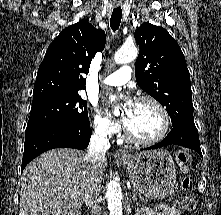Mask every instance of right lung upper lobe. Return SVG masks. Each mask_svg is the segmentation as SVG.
<instances>
[{
  "instance_id": "1",
  "label": "right lung upper lobe",
  "mask_w": 221,
  "mask_h": 215,
  "mask_svg": "<svg viewBox=\"0 0 221 215\" xmlns=\"http://www.w3.org/2000/svg\"><path fill=\"white\" fill-rule=\"evenodd\" d=\"M103 30L81 20L60 32L39 66L33 101L56 94L78 93L86 84L92 58L105 47Z\"/></svg>"
}]
</instances>
